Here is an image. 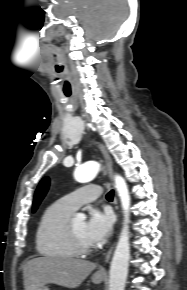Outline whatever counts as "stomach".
Returning <instances> with one entry per match:
<instances>
[{"label":"stomach","mask_w":187,"mask_h":290,"mask_svg":"<svg viewBox=\"0 0 187 290\" xmlns=\"http://www.w3.org/2000/svg\"><path fill=\"white\" fill-rule=\"evenodd\" d=\"M91 280L93 283L99 284L104 280V276H101V275L95 273L92 275ZM38 290H49V288L46 286H43V287L39 288Z\"/></svg>","instance_id":"stomach-1"}]
</instances>
